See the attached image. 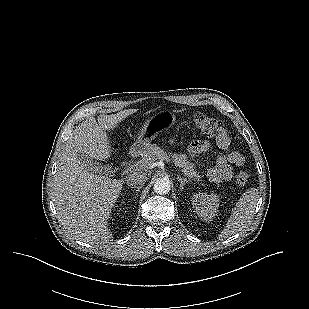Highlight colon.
<instances>
[{"label":"colon","mask_w":309,"mask_h":309,"mask_svg":"<svg viewBox=\"0 0 309 309\" xmlns=\"http://www.w3.org/2000/svg\"><path fill=\"white\" fill-rule=\"evenodd\" d=\"M195 126L203 133L214 136L218 135L223 130L221 121L210 118L202 113H195L193 115ZM250 178V173L247 170H241L237 173L235 181L239 185H245Z\"/></svg>","instance_id":"5ec220e1"}]
</instances>
